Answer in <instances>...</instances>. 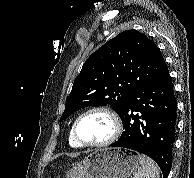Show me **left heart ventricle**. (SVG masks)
Listing matches in <instances>:
<instances>
[{"label":"left heart ventricle","mask_w":194,"mask_h":178,"mask_svg":"<svg viewBox=\"0 0 194 178\" xmlns=\"http://www.w3.org/2000/svg\"><path fill=\"white\" fill-rule=\"evenodd\" d=\"M78 136L85 142L97 143L107 139L112 132L110 119L102 113H90L78 124Z\"/></svg>","instance_id":"left-heart-ventricle-1"}]
</instances>
